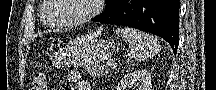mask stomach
I'll return each mask as SVG.
<instances>
[{
  "label": "stomach",
  "mask_w": 216,
  "mask_h": 90,
  "mask_svg": "<svg viewBox=\"0 0 216 90\" xmlns=\"http://www.w3.org/2000/svg\"><path fill=\"white\" fill-rule=\"evenodd\" d=\"M114 45L107 40H92L76 49L54 57V65L92 66L113 55Z\"/></svg>",
  "instance_id": "1"
}]
</instances>
